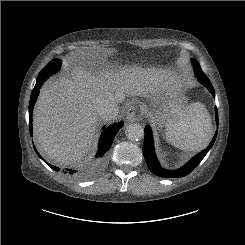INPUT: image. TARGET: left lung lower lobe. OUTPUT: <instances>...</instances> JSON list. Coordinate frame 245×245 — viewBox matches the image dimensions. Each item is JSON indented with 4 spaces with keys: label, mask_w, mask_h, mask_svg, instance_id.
Segmentation results:
<instances>
[{
    "label": "left lung lower lobe",
    "mask_w": 245,
    "mask_h": 245,
    "mask_svg": "<svg viewBox=\"0 0 245 245\" xmlns=\"http://www.w3.org/2000/svg\"><path fill=\"white\" fill-rule=\"evenodd\" d=\"M201 83L204 86H206L208 90L212 93V95L215 97V91L209 79H202ZM215 111L217 112V108H215ZM216 123L218 124V114L217 113H216ZM216 137H217V132L215 133L209 146L202 152L198 153L195 157H193L186 165H184L180 169L165 170L160 167L159 162L156 158L154 147H153V137H152L151 128L149 126H146L145 139H144V144H143V153H144V157H145L147 166L153 174L159 177L176 178V177L186 176L191 171H193L194 168L202 161V159L205 157V155L208 153V151L213 146Z\"/></svg>",
    "instance_id": "1"
}]
</instances>
